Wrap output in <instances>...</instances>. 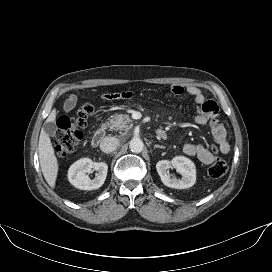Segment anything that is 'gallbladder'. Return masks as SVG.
<instances>
[{"label":"gallbladder","instance_id":"1","mask_svg":"<svg viewBox=\"0 0 272 272\" xmlns=\"http://www.w3.org/2000/svg\"><path fill=\"white\" fill-rule=\"evenodd\" d=\"M43 129L47 135L51 137H54L57 131V127L54 122H46L43 126Z\"/></svg>","mask_w":272,"mask_h":272}]
</instances>
